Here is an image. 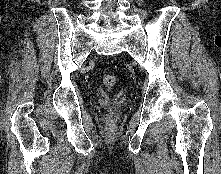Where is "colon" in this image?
Here are the masks:
<instances>
[{
	"label": "colon",
	"instance_id": "5ec220e1",
	"mask_svg": "<svg viewBox=\"0 0 221 174\" xmlns=\"http://www.w3.org/2000/svg\"><path fill=\"white\" fill-rule=\"evenodd\" d=\"M103 83L108 89H112L116 85V77L107 73L103 76ZM109 113H112V108H109Z\"/></svg>",
	"mask_w": 221,
	"mask_h": 174
}]
</instances>
